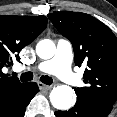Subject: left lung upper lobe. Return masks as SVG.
<instances>
[{
    "label": "left lung upper lobe",
    "instance_id": "5c2ea615",
    "mask_svg": "<svg viewBox=\"0 0 117 117\" xmlns=\"http://www.w3.org/2000/svg\"><path fill=\"white\" fill-rule=\"evenodd\" d=\"M48 18L72 43L75 65L86 66V86L74 88L77 98L113 105L117 99L116 36L104 23L85 13L54 12Z\"/></svg>",
    "mask_w": 117,
    "mask_h": 117
}]
</instances>
